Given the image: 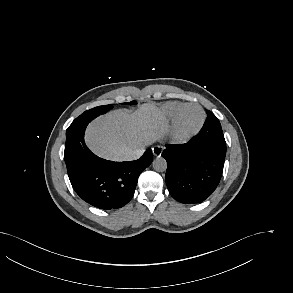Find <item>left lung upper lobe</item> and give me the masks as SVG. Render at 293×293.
Segmentation results:
<instances>
[{"label": "left lung upper lobe", "instance_id": "obj_1", "mask_svg": "<svg viewBox=\"0 0 293 293\" xmlns=\"http://www.w3.org/2000/svg\"><path fill=\"white\" fill-rule=\"evenodd\" d=\"M207 114L208 117L206 120H209L210 122L221 128L218 118L211 111H207Z\"/></svg>", "mask_w": 293, "mask_h": 293}]
</instances>
